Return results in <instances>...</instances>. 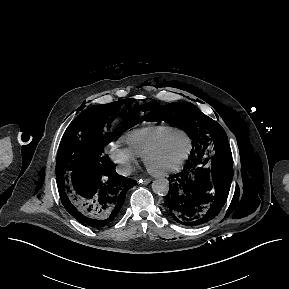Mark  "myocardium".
I'll list each match as a JSON object with an SVG mask.
<instances>
[{"label": "myocardium", "mask_w": 289, "mask_h": 289, "mask_svg": "<svg viewBox=\"0 0 289 289\" xmlns=\"http://www.w3.org/2000/svg\"><path fill=\"white\" fill-rule=\"evenodd\" d=\"M175 136H183L187 140V148H186V151L184 153V156L177 164H175L172 167H169V168L163 169V170L153 169L150 166V159L155 154H157L164 147V145L168 141H170L172 138H174ZM191 151H192V142H191L190 137L184 131L177 130V131L173 132L172 134H170L169 136H167L166 138H164L158 144H156L155 146L150 148L143 156V163H144L146 169L148 170V172L150 174H152L153 176H155V177L167 176L169 174L179 172L180 170L183 169V167L186 165V163L190 157Z\"/></svg>", "instance_id": "obj_1"}]
</instances>
